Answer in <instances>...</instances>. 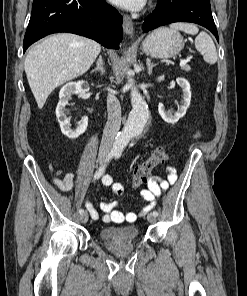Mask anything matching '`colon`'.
Segmentation results:
<instances>
[{"instance_id": "colon-1", "label": "colon", "mask_w": 247, "mask_h": 296, "mask_svg": "<svg viewBox=\"0 0 247 296\" xmlns=\"http://www.w3.org/2000/svg\"><path fill=\"white\" fill-rule=\"evenodd\" d=\"M167 159V153L163 147L156 148L151 156L142 164L136 167L133 175V187L137 188L145 184L149 178L151 171Z\"/></svg>"}]
</instances>
